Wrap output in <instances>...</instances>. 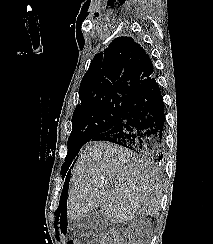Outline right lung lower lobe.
Returning <instances> with one entry per match:
<instances>
[{
    "label": "right lung lower lobe",
    "instance_id": "obj_1",
    "mask_svg": "<svg viewBox=\"0 0 213 244\" xmlns=\"http://www.w3.org/2000/svg\"><path fill=\"white\" fill-rule=\"evenodd\" d=\"M164 124L163 97L159 84L151 78L130 100L116 125L91 141L112 142L150 161L160 162L163 158ZM70 170L66 173L61 198L68 189Z\"/></svg>",
    "mask_w": 213,
    "mask_h": 244
}]
</instances>
